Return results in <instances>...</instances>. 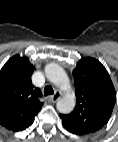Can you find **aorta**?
<instances>
[{"label":"aorta","mask_w":118,"mask_h":142,"mask_svg":"<svg viewBox=\"0 0 118 142\" xmlns=\"http://www.w3.org/2000/svg\"><path fill=\"white\" fill-rule=\"evenodd\" d=\"M45 75L50 82L66 92L65 95L57 101V110L63 114L72 112L76 105V100L72 92L70 80L64 69L55 63H50L45 67Z\"/></svg>","instance_id":"obj_1"}]
</instances>
